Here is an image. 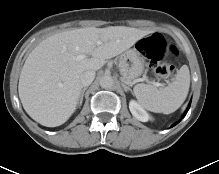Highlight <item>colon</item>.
Wrapping results in <instances>:
<instances>
[{"instance_id":"1","label":"colon","mask_w":219,"mask_h":174,"mask_svg":"<svg viewBox=\"0 0 219 174\" xmlns=\"http://www.w3.org/2000/svg\"><path fill=\"white\" fill-rule=\"evenodd\" d=\"M137 48L157 76L168 78L172 75L174 71L172 59L177 56V50L163 35L155 33L143 38L138 42Z\"/></svg>"}]
</instances>
